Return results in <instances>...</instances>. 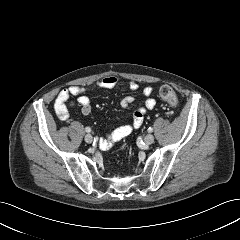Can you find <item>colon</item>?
Wrapping results in <instances>:
<instances>
[{
    "label": "colon",
    "instance_id": "colon-1",
    "mask_svg": "<svg viewBox=\"0 0 240 240\" xmlns=\"http://www.w3.org/2000/svg\"><path fill=\"white\" fill-rule=\"evenodd\" d=\"M160 96L171 107H175L178 103L177 95L169 85H164L160 88Z\"/></svg>",
    "mask_w": 240,
    "mask_h": 240
}]
</instances>
